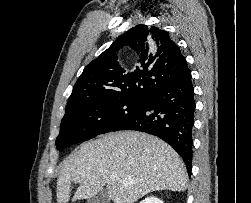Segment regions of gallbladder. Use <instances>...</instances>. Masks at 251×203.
Returning a JSON list of instances; mask_svg holds the SVG:
<instances>
[{"label":"gallbladder","mask_w":251,"mask_h":203,"mask_svg":"<svg viewBox=\"0 0 251 203\" xmlns=\"http://www.w3.org/2000/svg\"><path fill=\"white\" fill-rule=\"evenodd\" d=\"M110 197L106 189L100 191L97 195L88 199L87 203H109Z\"/></svg>","instance_id":"1"}]
</instances>
